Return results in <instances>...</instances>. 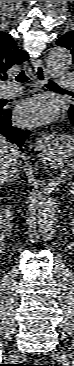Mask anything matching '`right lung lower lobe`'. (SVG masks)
Returning a JSON list of instances; mask_svg holds the SVG:
<instances>
[{"label": "right lung lower lobe", "instance_id": "right-lung-lower-lobe-1", "mask_svg": "<svg viewBox=\"0 0 74 366\" xmlns=\"http://www.w3.org/2000/svg\"><path fill=\"white\" fill-rule=\"evenodd\" d=\"M4 103L0 105V136L6 137L11 142L18 145L20 150L30 134L29 130H21L11 123V112L2 109Z\"/></svg>", "mask_w": 74, "mask_h": 366}]
</instances>
